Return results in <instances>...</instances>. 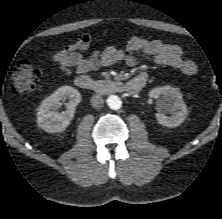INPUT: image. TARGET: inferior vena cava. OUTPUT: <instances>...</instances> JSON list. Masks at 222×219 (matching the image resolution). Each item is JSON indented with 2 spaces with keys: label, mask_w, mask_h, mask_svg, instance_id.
I'll list each match as a JSON object with an SVG mask.
<instances>
[{
  "label": "inferior vena cava",
  "mask_w": 222,
  "mask_h": 219,
  "mask_svg": "<svg viewBox=\"0 0 222 219\" xmlns=\"http://www.w3.org/2000/svg\"><path fill=\"white\" fill-rule=\"evenodd\" d=\"M91 104L94 108L96 109H100L102 108L104 105V100L100 95H93L91 98Z\"/></svg>",
  "instance_id": "obj_1"
}]
</instances>
